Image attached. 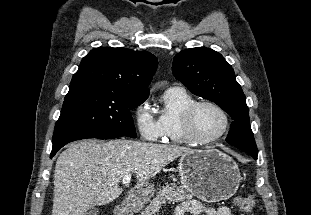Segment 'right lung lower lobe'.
Wrapping results in <instances>:
<instances>
[{
	"mask_svg": "<svg viewBox=\"0 0 311 215\" xmlns=\"http://www.w3.org/2000/svg\"><path fill=\"white\" fill-rule=\"evenodd\" d=\"M117 137H121V135L116 134V135H105V136H80V137H75V138H70V139L58 141V142L53 143L50 158H52L61 147H63L67 143L75 141V140L86 139V138L113 139V138H117Z\"/></svg>",
	"mask_w": 311,
	"mask_h": 215,
	"instance_id": "1",
	"label": "right lung lower lobe"
}]
</instances>
